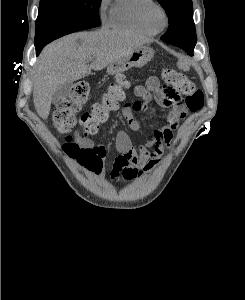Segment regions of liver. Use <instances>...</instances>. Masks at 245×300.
<instances>
[{
  "label": "liver",
  "mask_w": 245,
  "mask_h": 300,
  "mask_svg": "<svg viewBox=\"0 0 245 300\" xmlns=\"http://www.w3.org/2000/svg\"><path fill=\"white\" fill-rule=\"evenodd\" d=\"M144 43L135 35L102 28L74 33L47 45L38 58L33 78L38 115L48 118L53 95L60 86L88 76L91 70L104 69Z\"/></svg>",
  "instance_id": "6515ba94"
}]
</instances>
